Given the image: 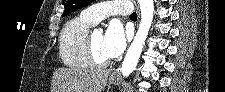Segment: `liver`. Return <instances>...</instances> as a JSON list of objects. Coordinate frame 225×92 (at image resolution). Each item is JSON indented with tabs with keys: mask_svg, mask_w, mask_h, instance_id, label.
I'll list each match as a JSON object with an SVG mask.
<instances>
[{
	"mask_svg": "<svg viewBox=\"0 0 225 92\" xmlns=\"http://www.w3.org/2000/svg\"><path fill=\"white\" fill-rule=\"evenodd\" d=\"M109 70L58 68L54 71L50 92H102Z\"/></svg>",
	"mask_w": 225,
	"mask_h": 92,
	"instance_id": "liver-1",
	"label": "liver"
}]
</instances>
